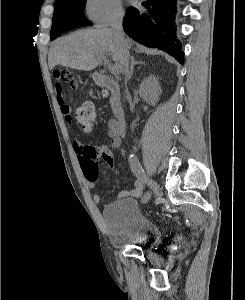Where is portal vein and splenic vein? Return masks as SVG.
Segmentation results:
<instances>
[{
    "label": "portal vein and splenic vein",
    "mask_w": 245,
    "mask_h": 300,
    "mask_svg": "<svg viewBox=\"0 0 245 300\" xmlns=\"http://www.w3.org/2000/svg\"><path fill=\"white\" fill-rule=\"evenodd\" d=\"M101 60H106V56H103L101 58ZM110 71L113 74H119L120 73V65L115 64V65L111 66Z\"/></svg>",
    "instance_id": "18ae733b"
}]
</instances>
